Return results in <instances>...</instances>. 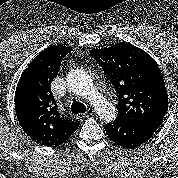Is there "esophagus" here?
I'll list each match as a JSON object with an SVG mask.
<instances>
[{
  "instance_id": "obj_1",
  "label": "esophagus",
  "mask_w": 178,
  "mask_h": 178,
  "mask_svg": "<svg viewBox=\"0 0 178 178\" xmlns=\"http://www.w3.org/2000/svg\"><path fill=\"white\" fill-rule=\"evenodd\" d=\"M94 113V109L93 108H89L87 110V112L84 114V116L82 114H77V118H82V117H87L90 116Z\"/></svg>"
}]
</instances>
